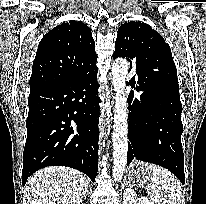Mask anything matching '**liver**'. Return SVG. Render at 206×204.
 I'll use <instances>...</instances> for the list:
<instances>
[{
  "instance_id": "liver-1",
  "label": "liver",
  "mask_w": 206,
  "mask_h": 204,
  "mask_svg": "<svg viewBox=\"0 0 206 204\" xmlns=\"http://www.w3.org/2000/svg\"><path fill=\"white\" fill-rule=\"evenodd\" d=\"M88 177L69 167L52 166L35 172L26 182L28 204H80Z\"/></svg>"
}]
</instances>
